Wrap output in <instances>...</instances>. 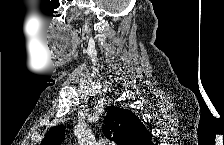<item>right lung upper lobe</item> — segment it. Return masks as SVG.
I'll return each instance as SVG.
<instances>
[{
	"instance_id": "right-lung-upper-lobe-1",
	"label": "right lung upper lobe",
	"mask_w": 224,
	"mask_h": 145,
	"mask_svg": "<svg viewBox=\"0 0 224 145\" xmlns=\"http://www.w3.org/2000/svg\"><path fill=\"white\" fill-rule=\"evenodd\" d=\"M104 135L117 145H146L152 137L143 123L129 110L109 106L102 129ZM64 139V130L55 126L48 131L41 145H58Z\"/></svg>"
}]
</instances>
